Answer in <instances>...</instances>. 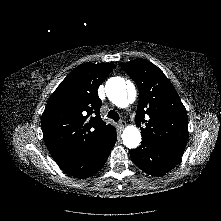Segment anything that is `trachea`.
Listing matches in <instances>:
<instances>
[{
    "label": "trachea",
    "mask_w": 221,
    "mask_h": 221,
    "mask_svg": "<svg viewBox=\"0 0 221 221\" xmlns=\"http://www.w3.org/2000/svg\"><path fill=\"white\" fill-rule=\"evenodd\" d=\"M108 116H109L110 118H112L114 121H118V120H119V115H118V113L115 112L114 110H110V111L108 112Z\"/></svg>",
    "instance_id": "trachea-1"
}]
</instances>
